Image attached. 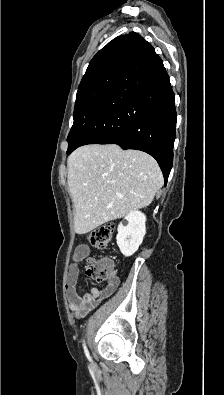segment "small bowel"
Instances as JSON below:
<instances>
[{
  "label": "small bowel",
  "mask_w": 224,
  "mask_h": 395,
  "mask_svg": "<svg viewBox=\"0 0 224 395\" xmlns=\"http://www.w3.org/2000/svg\"><path fill=\"white\" fill-rule=\"evenodd\" d=\"M90 253L91 249L87 244L79 245L74 254V262L70 264L67 272L66 291L68 305L76 318L85 317L102 299L112 295L119 285V279L113 278L102 291L92 289L90 293L78 294L79 262L86 259Z\"/></svg>",
  "instance_id": "c3829d8e"
}]
</instances>
